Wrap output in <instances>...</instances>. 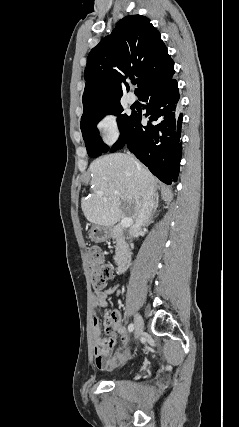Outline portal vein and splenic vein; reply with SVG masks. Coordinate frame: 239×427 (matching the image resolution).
Masks as SVG:
<instances>
[{
	"instance_id": "1",
	"label": "portal vein and splenic vein",
	"mask_w": 239,
	"mask_h": 427,
	"mask_svg": "<svg viewBox=\"0 0 239 427\" xmlns=\"http://www.w3.org/2000/svg\"><path fill=\"white\" fill-rule=\"evenodd\" d=\"M132 223H133L132 218H127V217L123 218L120 222L122 227H129L132 225Z\"/></svg>"
}]
</instances>
